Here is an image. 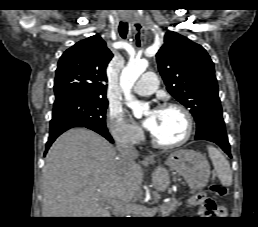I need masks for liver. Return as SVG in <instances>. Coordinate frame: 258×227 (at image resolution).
<instances>
[{"mask_svg":"<svg viewBox=\"0 0 258 227\" xmlns=\"http://www.w3.org/2000/svg\"><path fill=\"white\" fill-rule=\"evenodd\" d=\"M143 181L142 167L123 162L105 138L85 128L63 133L49 149L43 168V217H105L110 204L133 199ZM157 191L170 184L169 173L152 174Z\"/></svg>","mask_w":258,"mask_h":227,"instance_id":"6515ba94","label":"liver"}]
</instances>
